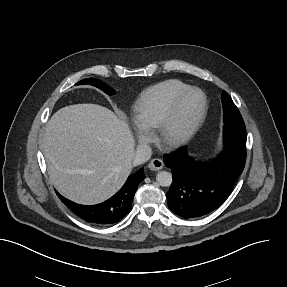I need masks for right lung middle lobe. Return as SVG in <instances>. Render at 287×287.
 <instances>
[{
    "instance_id": "dd1d6c3e",
    "label": "right lung middle lobe",
    "mask_w": 287,
    "mask_h": 287,
    "mask_svg": "<svg viewBox=\"0 0 287 287\" xmlns=\"http://www.w3.org/2000/svg\"><path fill=\"white\" fill-rule=\"evenodd\" d=\"M78 84H90V85L96 86L108 95H113L116 93L115 90H113L111 87H109L108 85H106L102 81H100L98 79H94V78L84 79V80L80 81L79 83H77V85Z\"/></svg>"
}]
</instances>
